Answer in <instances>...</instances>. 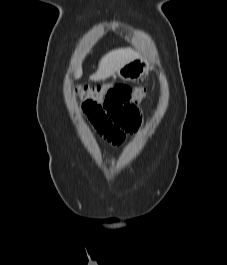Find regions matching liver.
Segmentation results:
<instances>
[{"instance_id": "6515ba94", "label": "liver", "mask_w": 227, "mask_h": 265, "mask_svg": "<svg viewBox=\"0 0 227 265\" xmlns=\"http://www.w3.org/2000/svg\"><path fill=\"white\" fill-rule=\"evenodd\" d=\"M139 54L130 48L115 49L108 52L99 62L98 70L90 76L91 80H104L116 73L127 62L136 59ZM82 69L79 68L75 73V78H80Z\"/></svg>"}]
</instances>
